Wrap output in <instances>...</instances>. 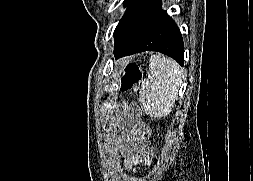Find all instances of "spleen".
<instances>
[{
  "instance_id": "obj_1",
  "label": "spleen",
  "mask_w": 253,
  "mask_h": 181,
  "mask_svg": "<svg viewBox=\"0 0 253 181\" xmlns=\"http://www.w3.org/2000/svg\"><path fill=\"white\" fill-rule=\"evenodd\" d=\"M181 85V70L172 59L155 54L150 58L148 77L142 82L139 101L151 117H165L173 107Z\"/></svg>"
}]
</instances>
